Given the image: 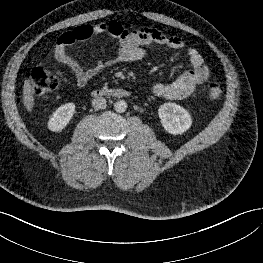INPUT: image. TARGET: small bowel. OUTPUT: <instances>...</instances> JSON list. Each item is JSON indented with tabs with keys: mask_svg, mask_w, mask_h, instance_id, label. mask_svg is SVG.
Masks as SVG:
<instances>
[{
	"mask_svg": "<svg viewBox=\"0 0 263 263\" xmlns=\"http://www.w3.org/2000/svg\"><path fill=\"white\" fill-rule=\"evenodd\" d=\"M97 35H108L118 41L116 55L105 61H98L91 67H85L67 52V47L87 41ZM162 46L172 50H186L192 68L183 72L170 83H155L153 93L156 96L170 100H180L190 96L196 87L204 83L210 74L208 66L201 53L194 47H188L178 36H167L157 29L142 27L131 29L130 26L118 20L101 22L95 25H81L72 31L61 34L55 44L54 57L61 64L70 68L73 79L63 76L67 85L81 88L100 73L104 68L120 62H135L144 58L149 46Z\"/></svg>",
	"mask_w": 263,
	"mask_h": 263,
	"instance_id": "1",
	"label": "small bowel"
}]
</instances>
